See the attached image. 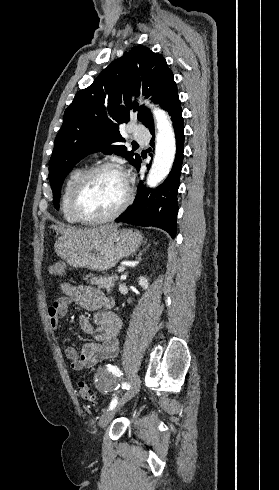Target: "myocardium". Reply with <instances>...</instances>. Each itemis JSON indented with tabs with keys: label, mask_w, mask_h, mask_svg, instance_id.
Here are the masks:
<instances>
[{
	"label": "myocardium",
	"mask_w": 279,
	"mask_h": 490,
	"mask_svg": "<svg viewBox=\"0 0 279 490\" xmlns=\"http://www.w3.org/2000/svg\"><path fill=\"white\" fill-rule=\"evenodd\" d=\"M104 171H113L122 176L126 189V196L124 200L121 202V204L113 212L109 214L98 216V217L85 216L81 210L82 195L90 180L95 175ZM133 196H134L133 189L129 183L126 170L118 164L109 163V162L101 163L85 170L83 174L80 176V178L78 179L72 195V209L74 214L78 218V220L81 221L82 223H86V224L103 223L119 217L128 208V206L133 200Z\"/></svg>",
	"instance_id": "myocardium-1"
}]
</instances>
